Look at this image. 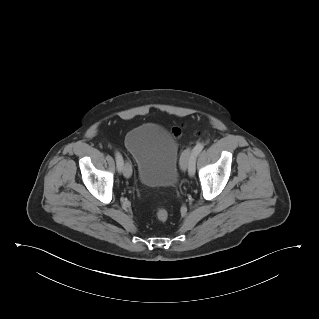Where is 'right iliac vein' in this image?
I'll use <instances>...</instances> for the list:
<instances>
[{
    "mask_svg": "<svg viewBox=\"0 0 319 319\" xmlns=\"http://www.w3.org/2000/svg\"><path fill=\"white\" fill-rule=\"evenodd\" d=\"M123 175L126 178H130L132 175V168H131V165L128 161H126L123 165Z\"/></svg>",
    "mask_w": 319,
    "mask_h": 319,
    "instance_id": "1",
    "label": "right iliac vein"
}]
</instances>
